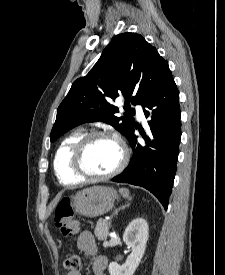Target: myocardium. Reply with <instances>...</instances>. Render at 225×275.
<instances>
[{"mask_svg":"<svg viewBox=\"0 0 225 275\" xmlns=\"http://www.w3.org/2000/svg\"><path fill=\"white\" fill-rule=\"evenodd\" d=\"M99 138H108L116 141L121 151L120 160L117 166L109 173H106L103 175L91 174L84 168V165H83V157L87 148L95 139H99ZM128 159H129V152H128L127 146L119 137L111 136L102 131H92L84 134L79 139V141L75 144L71 154V169L82 180L102 181V180L113 178L119 173H121L126 167L128 163Z\"/></svg>","mask_w":225,"mask_h":275,"instance_id":"obj_1","label":"myocardium"}]
</instances>
